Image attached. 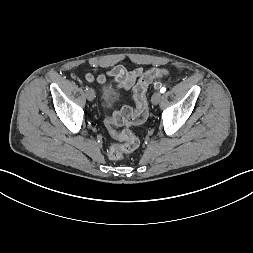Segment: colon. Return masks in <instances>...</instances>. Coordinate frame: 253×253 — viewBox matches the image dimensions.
Here are the masks:
<instances>
[{
  "label": "colon",
  "mask_w": 253,
  "mask_h": 253,
  "mask_svg": "<svg viewBox=\"0 0 253 253\" xmlns=\"http://www.w3.org/2000/svg\"><path fill=\"white\" fill-rule=\"evenodd\" d=\"M167 76L168 71L163 68H154L144 73L134 87L135 109L123 107L111 118L106 119L105 124L111 137L120 142L109 148L108 157L111 160L121 159L125 153L133 151L138 146V139L130 130L119 131L118 127L141 125L146 121L148 117L147 89L154 80Z\"/></svg>",
  "instance_id": "colon-1"
}]
</instances>
